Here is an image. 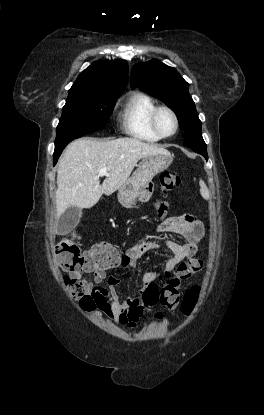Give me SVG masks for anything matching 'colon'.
<instances>
[{
  "label": "colon",
  "mask_w": 264,
  "mask_h": 415,
  "mask_svg": "<svg viewBox=\"0 0 264 415\" xmlns=\"http://www.w3.org/2000/svg\"><path fill=\"white\" fill-rule=\"evenodd\" d=\"M160 187L163 192L171 191L179 187V176L173 171H164L160 174ZM156 208L161 215L167 210L163 201L156 203ZM210 227L207 226V230ZM55 257L58 266L66 273L63 277L65 286L71 291L72 296L85 310L95 308V301L85 291L80 274L88 268H108L123 257L112 245L100 243L87 252H82L75 239H63L55 248ZM201 260L192 258L186 263L180 264L174 273H165L159 278L162 286L155 283L149 284L142 297V304L146 310H150L157 304L169 309L175 308L180 301L179 287L181 280L187 273L199 269ZM200 290L198 287H191L184 295L181 302V311L185 316H190L197 306Z\"/></svg>",
  "instance_id": "obj_1"
}]
</instances>
